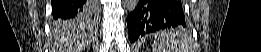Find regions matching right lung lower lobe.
Segmentation results:
<instances>
[{"instance_id":"98d812e1","label":"right lung lower lobe","mask_w":261,"mask_h":52,"mask_svg":"<svg viewBox=\"0 0 261 52\" xmlns=\"http://www.w3.org/2000/svg\"><path fill=\"white\" fill-rule=\"evenodd\" d=\"M52 14L54 19H70L85 13L86 17L94 15L95 8L92 1L85 0H52Z\"/></svg>"}]
</instances>
